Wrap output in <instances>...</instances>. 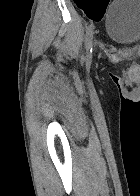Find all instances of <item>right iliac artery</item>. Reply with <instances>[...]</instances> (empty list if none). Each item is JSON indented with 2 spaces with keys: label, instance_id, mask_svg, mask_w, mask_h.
<instances>
[{
  "label": "right iliac artery",
  "instance_id": "82829eb1",
  "mask_svg": "<svg viewBox=\"0 0 140 196\" xmlns=\"http://www.w3.org/2000/svg\"><path fill=\"white\" fill-rule=\"evenodd\" d=\"M92 39H93V28L89 26L86 30V39H85L87 59L90 58L92 54Z\"/></svg>",
  "mask_w": 140,
  "mask_h": 196
}]
</instances>
